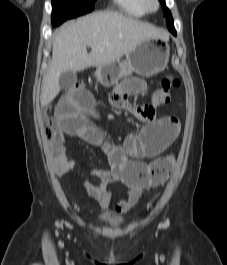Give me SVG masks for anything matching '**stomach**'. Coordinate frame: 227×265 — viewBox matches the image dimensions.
<instances>
[{
  "mask_svg": "<svg viewBox=\"0 0 227 265\" xmlns=\"http://www.w3.org/2000/svg\"><path fill=\"white\" fill-rule=\"evenodd\" d=\"M170 54L168 43L162 39H147L126 53L124 61H114L99 66L94 77L103 86H113L114 81L131 75L133 72L143 77L156 75L167 67Z\"/></svg>",
  "mask_w": 227,
  "mask_h": 265,
  "instance_id": "0dacf381",
  "label": "stomach"
}]
</instances>
